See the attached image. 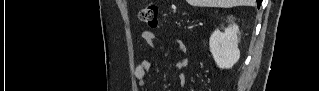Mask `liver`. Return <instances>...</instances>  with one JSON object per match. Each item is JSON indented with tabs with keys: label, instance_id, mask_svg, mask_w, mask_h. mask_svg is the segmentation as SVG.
Here are the masks:
<instances>
[{
	"label": "liver",
	"instance_id": "1",
	"mask_svg": "<svg viewBox=\"0 0 319 91\" xmlns=\"http://www.w3.org/2000/svg\"><path fill=\"white\" fill-rule=\"evenodd\" d=\"M192 6L231 8L235 6H255L256 0H187Z\"/></svg>",
	"mask_w": 319,
	"mask_h": 91
}]
</instances>
